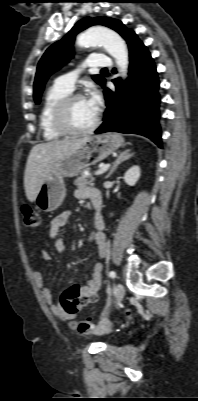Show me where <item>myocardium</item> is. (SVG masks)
Returning <instances> with one entry per match:
<instances>
[{"instance_id": "f54148a6", "label": "myocardium", "mask_w": 198, "mask_h": 401, "mask_svg": "<svg viewBox=\"0 0 198 401\" xmlns=\"http://www.w3.org/2000/svg\"><path fill=\"white\" fill-rule=\"evenodd\" d=\"M82 98L86 97L81 93H69L58 102L53 114V123L56 129L63 135L67 136L85 135L93 132L99 126L101 121L100 110L97 111V115L94 122L87 128L75 129L70 125L68 120L69 108L74 101Z\"/></svg>"}]
</instances>
